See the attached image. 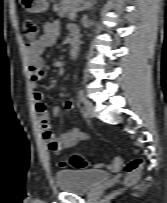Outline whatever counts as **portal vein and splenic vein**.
Segmentation results:
<instances>
[{"instance_id": "portal-vein-and-splenic-vein-1", "label": "portal vein and splenic vein", "mask_w": 167, "mask_h": 203, "mask_svg": "<svg viewBox=\"0 0 167 203\" xmlns=\"http://www.w3.org/2000/svg\"><path fill=\"white\" fill-rule=\"evenodd\" d=\"M78 10H79V9H78ZM78 10H77V11H78ZM77 11H76V12H77ZM76 12H74V13H71V14H70V18H73V17H75V15H76Z\"/></svg>"}]
</instances>
